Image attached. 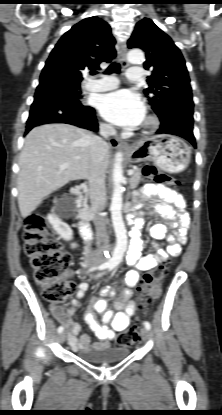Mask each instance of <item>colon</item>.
Wrapping results in <instances>:
<instances>
[{"label":"colon","instance_id":"5ec220e1","mask_svg":"<svg viewBox=\"0 0 222 415\" xmlns=\"http://www.w3.org/2000/svg\"><path fill=\"white\" fill-rule=\"evenodd\" d=\"M143 173L156 184L178 188L179 181L153 166H144ZM25 253L29 257L37 283L42 287L43 297L51 303L64 302L73 292V284L63 278L70 266L71 258L62 251L60 241L47 225L43 214L32 213L25 219ZM167 265L162 263L146 272L139 285V310L146 313L148 305L159 296L158 286L167 273ZM139 338L138 327H133L118 338L120 345H130Z\"/></svg>","mask_w":222,"mask_h":415}]
</instances>
